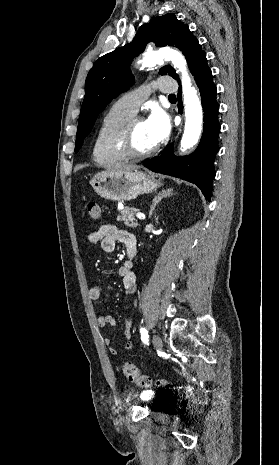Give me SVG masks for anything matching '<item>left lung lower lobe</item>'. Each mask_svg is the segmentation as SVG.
I'll return each mask as SVG.
<instances>
[{
	"label": "left lung lower lobe",
	"instance_id": "left-lung-lower-lobe-1",
	"mask_svg": "<svg viewBox=\"0 0 279 465\" xmlns=\"http://www.w3.org/2000/svg\"><path fill=\"white\" fill-rule=\"evenodd\" d=\"M191 73L202 97L204 111L203 134L195 152L189 156H174L173 143L169 144L160 157L146 161L144 166L153 172L162 173L196 184L207 200L211 199L212 181L215 177L214 160L219 151L218 122L219 105L216 101V86L207 65L206 54H202L195 63ZM180 84V83H179ZM181 90L179 89V95ZM182 107L179 106V113Z\"/></svg>",
	"mask_w": 279,
	"mask_h": 465
}]
</instances>
